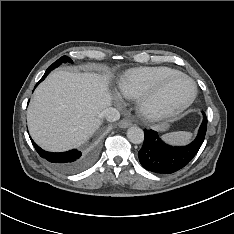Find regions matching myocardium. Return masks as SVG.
<instances>
[{
    "instance_id": "f54148a6",
    "label": "myocardium",
    "mask_w": 234,
    "mask_h": 234,
    "mask_svg": "<svg viewBox=\"0 0 234 234\" xmlns=\"http://www.w3.org/2000/svg\"><path fill=\"white\" fill-rule=\"evenodd\" d=\"M183 78L189 81L192 85V93L188 99L179 104H162L158 102L159 95L164 89L175 79ZM197 86L195 82L187 75L178 72L166 77L150 91L140 97L139 109L143 116L149 119H159L162 117L172 116L183 112L196 99Z\"/></svg>"
}]
</instances>
